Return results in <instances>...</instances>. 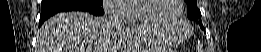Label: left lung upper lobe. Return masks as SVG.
<instances>
[{"label": "left lung upper lobe", "mask_w": 261, "mask_h": 52, "mask_svg": "<svg viewBox=\"0 0 261 52\" xmlns=\"http://www.w3.org/2000/svg\"><path fill=\"white\" fill-rule=\"evenodd\" d=\"M187 3L188 18L199 23L203 27L201 21V12L196 5V0H185Z\"/></svg>", "instance_id": "1"}]
</instances>
